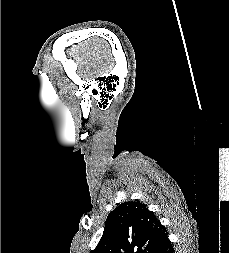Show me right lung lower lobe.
<instances>
[{
	"label": "right lung lower lobe",
	"mask_w": 229,
	"mask_h": 253,
	"mask_svg": "<svg viewBox=\"0 0 229 253\" xmlns=\"http://www.w3.org/2000/svg\"><path fill=\"white\" fill-rule=\"evenodd\" d=\"M156 253H174L173 245L170 241L165 243Z\"/></svg>",
	"instance_id": "right-lung-lower-lobe-1"
}]
</instances>
